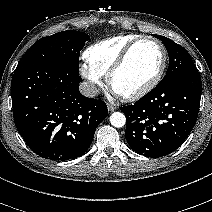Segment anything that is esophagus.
Listing matches in <instances>:
<instances>
[{
    "instance_id": "34e87169",
    "label": "esophagus",
    "mask_w": 212,
    "mask_h": 212,
    "mask_svg": "<svg viewBox=\"0 0 212 212\" xmlns=\"http://www.w3.org/2000/svg\"><path fill=\"white\" fill-rule=\"evenodd\" d=\"M107 108H108V110L111 111V112H113V111H115V110L117 109V107L114 106V105H112V104H108V105H107Z\"/></svg>"
}]
</instances>
